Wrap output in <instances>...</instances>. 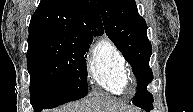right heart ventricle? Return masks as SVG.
I'll return each instance as SVG.
<instances>
[{
    "label": "right heart ventricle",
    "mask_w": 193,
    "mask_h": 112,
    "mask_svg": "<svg viewBox=\"0 0 193 112\" xmlns=\"http://www.w3.org/2000/svg\"><path fill=\"white\" fill-rule=\"evenodd\" d=\"M87 72L92 83L115 95L126 92L129 84L126 59L110 38L97 40L86 61Z\"/></svg>",
    "instance_id": "obj_1"
}]
</instances>
